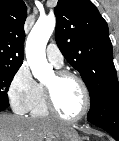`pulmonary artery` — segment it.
Wrapping results in <instances>:
<instances>
[{
	"instance_id": "e3ab8cb5",
	"label": "pulmonary artery",
	"mask_w": 119,
	"mask_h": 141,
	"mask_svg": "<svg viewBox=\"0 0 119 141\" xmlns=\"http://www.w3.org/2000/svg\"><path fill=\"white\" fill-rule=\"evenodd\" d=\"M47 59L57 68L64 63V58L59 48L55 44H49L46 48Z\"/></svg>"
}]
</instances>
